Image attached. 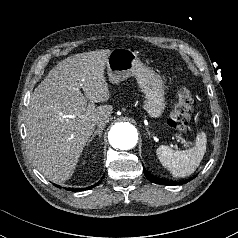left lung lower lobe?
Wrapping results in <instances>:
<instances>
[{
  "label": "left lung lower lobe",
  "mask_w": 238,
  "mask_h": 238,
  "mask_svg": "<svg viewBox=\"0 0 238 238\" xmlns=\"http://www.w3.org/2000/svg\"><path fill=\"white\" fill-rule=\"evenodd\" d=\"M144 173H145V176L153 183H156V184H161V185H180V184H184V183H187L189 181H191L194 177L188 179V180H185V181H180V182H173V181H167V180H164V179H161L159 177H156V176H153L152 174H150L145 168H144Z\"/></svg>",
  "instance_id": "0a47b994"
}]
</instances>
